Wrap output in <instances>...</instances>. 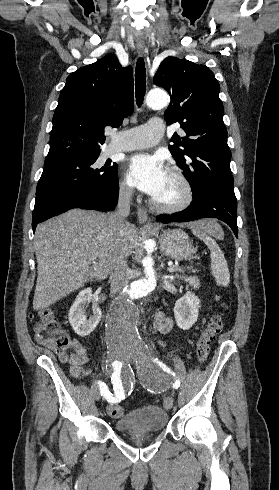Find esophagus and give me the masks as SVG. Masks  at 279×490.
<instances>
[{
  "label": "esophagus",
  "instance_id": "34e87169",
  "mask_svg": "<svg viewBox=\"0 0 279 490\" xmlns=\"http://www.w3.org/2000/svg\"><path fill=\"white\" fill-rule=\"evenodd\" d=\"M137 51L139 55H144L145 46L144 45H136ZM137 216L140 223H146L149 228H154L150 222H148V214L145 208L139 207L137 209Z\"/></svg>",
  "mask_w": 279,
  "mask_h": 490
}]
</instances>
